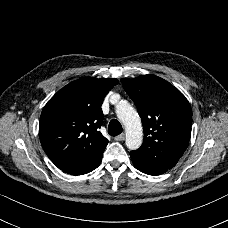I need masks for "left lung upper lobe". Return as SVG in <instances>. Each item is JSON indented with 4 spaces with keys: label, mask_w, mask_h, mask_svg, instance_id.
Returning a JSON list of instances; mask_svg holds the SVG:
<instances>
[{
    "label": "left lung upper lobe",
    "mask_w": 228,
    "mask_h": 228,
    "mask_svg": "<svg viewBox=\"0 0 228 228\" xmlns=\"http://www.w3.org/2000/svg\"><path fill=\"white\" fill-rule=\"evenodd\" d=\"M141 117L144 140L130 152L131 159L148 166L171 169L185 152L192 126V110L185 96L155 75L121 79Z\"/></svg>",
    "instance_id": "1"
}]
</instances>
